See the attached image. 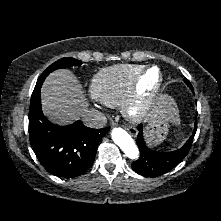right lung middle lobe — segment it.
<instances>
[{
    "label": "right lung middle lobe",
    "mask_w": 221,
    "mask_h": 221,
    "mask_svg": "<svg viewBox=\"0 0 221 221\" xmlns=\"http://www.w3.org/2000/svg\"><path fill=\"white\" fill-rule=\"evenodd\" d=\"M81 64L80 60L74 59V58H62L59 59L58 61L54 62L52 65H50L39 77L36 85H42L43 81L45 78L51 73L52 71L56 69H61V68H68L74 65H79Z\"/></svg>",
    "instance_id": "right-lung-middle-lobe-1"
}]
</instances>
